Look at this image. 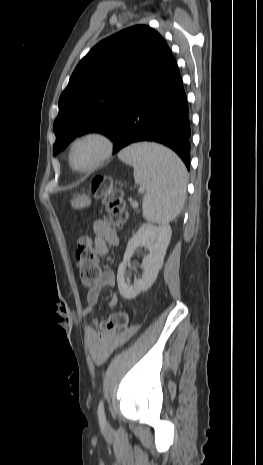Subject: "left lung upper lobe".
<instances>
[{"label":"left lung upper lobe","instance_id":"5c2ea615","mask_svg":"<svg viewBox=\"0 0 263 465\" xmlns=\"http://www.w3.org/2000/svg\"><path fill=\"white\" fill-rule=\"evenodd\" d=\"M166 47L162 36L146 25L124 29L94 46L60 96L53 154L88 132L113 140L137 81Z\"/></svg>","mask_w":263,"mask_h":465}]
</instances>
